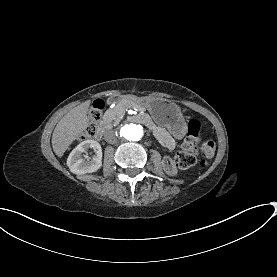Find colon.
I'll return each mask as SVG.
<instances>
[{
	"mask_svg": "<svg viewBox=\"0 0 277 277\" xmlns=\"http://www.w3.org/2000/svg\"><path fill=\"white\" fill-rule=\"evenodd\" d=\"M105 103L95 102L89 111V120L86 122L84 137L93 140L99 132L98 121L104 114ZM203 126L197 118L189 120L187 125V136L183 148L175 156V165L180 169H188L197 162V155L210 159L215 154V142L212 139H203Z\"/></svg>",
	"mask_w": 277,
	"mask_h": 277,
	"instance_id": "1",
	"label": "colon"
}]
</instances>
